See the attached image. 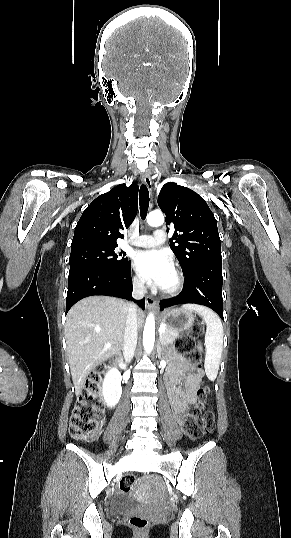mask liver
Returning a JSON list of instances; mask_svg holds the SVG:
<instances>
[{
	"instance_id": "6515ba94",
	"label": "liver",
	"mask_w": 291,
	"mask_h": 538,
	"mask_svg": "<svg viewBox=\"0 0 291 538\" xmlns=\"http://www.w3.org/2000/svg\"><path fill=\"white\" fill-rule=\"evenodd\" d=\"M128 314V303L108 296H90L76 303L65 324L67 355L76 396L97 365L120 353ZM144 312L137 311L142 325Z\"/></svg>"
}]
</instances>
